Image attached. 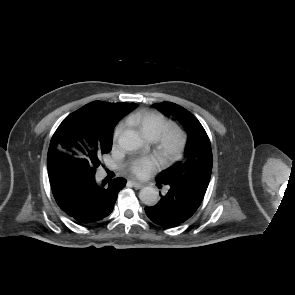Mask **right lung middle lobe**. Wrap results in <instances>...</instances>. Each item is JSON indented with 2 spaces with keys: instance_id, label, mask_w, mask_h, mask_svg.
<instances>
[{
  "instance_id": "dd1d6c3e",
  "label": "right lung middle lobe",
  "mask_w": 295,
  "mask_h": 295,
  "mask_svg": "<svg viewBox=\"0 0 295 295\" xmlns=\"http://www.w3.org/2000/svg\"><path fill=\"white\" fill-rule=\"evenodd\" d=\"M80 130H84L85 126L83 124L79 125ZM112 138L113 134L108 135L104 140H97L94 138L90 145L88 146L87 159L82 165L85 171H95L101 164L99 160V155L109 153L112 149Z\"/></svg>"
}]
</instances>
